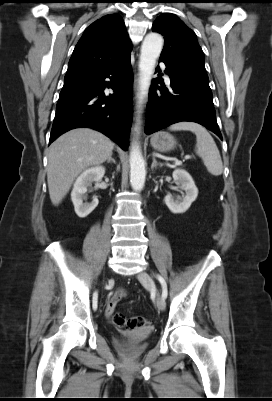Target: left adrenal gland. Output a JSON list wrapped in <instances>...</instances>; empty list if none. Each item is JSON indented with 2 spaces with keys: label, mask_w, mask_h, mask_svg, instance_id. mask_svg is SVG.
Returning a JSON list of instances; mask_svg holds the SVG:
<instances>
[{
  "label": "left adrenal gland",
  "mask_w": 272,
  "mask_h": 401,
  "mask_svg": "<svg viewBox=\"0 0 272 401\" xmlns=\"http://www.w3.org/2000/svg\"><path fill=\"white\" fill-rule=\"evenodd\" d=\"M152 159H153V162H152V165H151V169H152V170L156 169L158 166H159V167H162V164H161V163H158V162L156 161L155 156H153Z\"/></svg>",
  "instance_id": "obj_1"
}]
</instances>
